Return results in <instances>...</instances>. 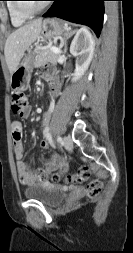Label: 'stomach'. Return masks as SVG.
<instances>
[{
	"label": "stomach",
	"instance_id": "stomach-1",
	"mask_svg": "<svg viewBox=\"0 0 133 253\" xmlns=\"http://www.w3.org/2000/svg\"><path fill=\"white\" fill-rule=\"evenodd\" d=\"M66 27L56 19H45L42 23L40 37L51 41L62 37ZM34 63V52L28 49V53L22 58L16 70L11 74L10 86L13 91H25L29 87L31 72Z\"/></svg>",
	"mask_w": 133,
	"mask_h": 253
}]
</instances>
